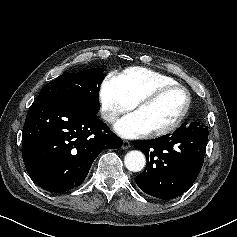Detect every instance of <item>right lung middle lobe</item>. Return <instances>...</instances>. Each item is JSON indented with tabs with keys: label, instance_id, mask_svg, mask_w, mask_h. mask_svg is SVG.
Returning <instances> with one entry per match:
<instances>
[{
	"label": "right lung middle lobe",
	"instance_id": "obj_1",
	"mask_svg": "<svg viewBox=\"0 0 237 237\" xmlns=\"http://www.w3.org/2000/svg\"><path fill=\"white\" fill-rule=\"evenodd\" d=\"M104 69L91 68L78 73H65L47 83L39 97L64 100L77 108L96 114L99 112V87Z\"/></svg>",
	"mask_w": 237,
	"mask_h": 237
}]
</instances>
